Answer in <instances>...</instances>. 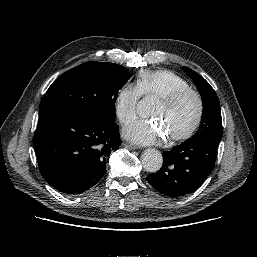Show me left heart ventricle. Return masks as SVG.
I'll return each mask as SVG.
<instances>
[{
	"label": "left heart ventricle",
	"instance_id": "left-heart-ventricle-1",
	"mask_svg": "<svg viewBox=\"0 0 257 257\" xmlns=\"http://www.w3.org/2000/svg\"><path fill=\"white\" fill-rule=\"evenodd\" d=\"M196 113L197 102L193 96L188 95L172 106L157 101L151 115L162 121L171 137L185 131L193 122Z\"/></svg>",
	"mask_w": 257,
	"mask_h": 257
}]
</instances>
